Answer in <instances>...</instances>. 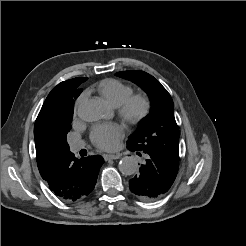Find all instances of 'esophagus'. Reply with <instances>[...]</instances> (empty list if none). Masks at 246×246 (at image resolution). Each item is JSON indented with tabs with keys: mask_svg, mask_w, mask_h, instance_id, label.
Instances as JSON below:
<instances>
[{
	"mask_svg": "<svg viewBox=\"0 0 246 246\" xmlns=\"http://www.w3.org/2000/svg\"><path fill=\"white\" fill-rule=\"evenodd\" d=\"M120 157H121L120 154H105L104 155L105 161L119 159Z\"/></svg>",
	"mask_w": 246,
	"mask_h": 246,
	"instance_id": "1",
	"label": "esophagus"
}]
</instances>
